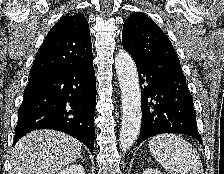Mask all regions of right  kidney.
Returning <instances> with one entry per match:
<instances>
[{
    "label": "right kidney",
    "instance_id": "obj_1",
    "mask_svg": "<svg viewBox=\"0 0 224 174\" xmlns=\"http://www.w3.org/2000/svg\"><path fill=\"white\" fill-rule=\"evenodd\" d=\"M58 174H85V169L82 165L73 164L64 168Z\"/></svg>",
    "mask_w": 224,
    "mask_h": 174
}]
</instances>
